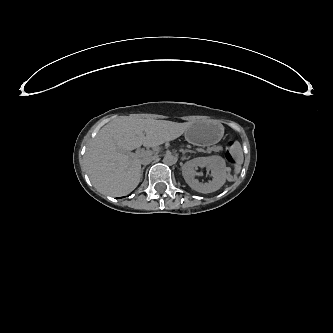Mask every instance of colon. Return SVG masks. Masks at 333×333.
I'll return each mask as SVG.
<instances>
[{
  "label": "colon",
  "mask_w": 333,
  "mask_h": 333,
  "mask_svg": "<svg viewBox=\"0 0 333 333\" xmlns=\"http://www.w3.org/2000/svg\"><path fill=\"white\" fill-rule=\"evenodd\" d=\"M232 142L229 143L227 150H226V158L228 159L229 162L234 163L235 162V157L233 155V152L231 150Z\"/></svg>",
  "instance_id": "colon-1"
}]
</instances>
